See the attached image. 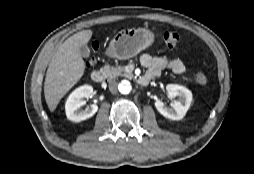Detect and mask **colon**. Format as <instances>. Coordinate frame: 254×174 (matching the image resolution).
Segmentation results:
<instances>
[{
  "instance_id": "1",
  "label": "colon",
  "mask_w": 254,
  "mask_h": 174,
  "mask_svg": "<svg viewBox=\"0 0 254 174\" xmlns=\"http://www.w3.org/2000/svg\"><path fill=\"white\" fill-rule=\"evenodd\" d=\"M163 39L166 44H168L170 46H174L179 42L180 36L175 31H166L163 34ZM195 79H196L197 83L200 85H206L208 83L207 76L202 72H197L195 75Z\"/></svg>"
}]
</instances>
